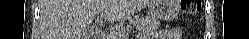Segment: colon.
I'll return each mask as SVG.
<instances>
[{
	"label": "colon",
	"mask_w": 249,
	"mask_h": 39,
	"mask_svg": "<svg viewBox=\"0 0 249 39\" xmlns=\"http://www.w3.org/2000/svg\"><path fill=\"white\" fill-rule=\"evenodd\" d=\"M181 9L188 15H193L200 10V0H182Z\"/></svg>",
	"instance_id": "5ec220e1"
}]
</instances>
